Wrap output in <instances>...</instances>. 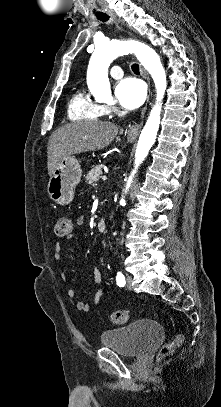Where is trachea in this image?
Returning <instances> with one entry per match:
<instances>
[{
  "mask_svg": "<svg viewBox=\"0 0 221 407\" xmlns=\"http://www.w3.org/2000/svg\"><path fill=\"white\" fill-rule=\"evenodd\" d=\"M96 17H97V19H99L102 22H106V21L109 20V16L107 14H104V13L99 14ZM132 70H133V72L135 74H139V66H138V64H133L132 65Z\"/></svg>",
  "mask_w": 221,
  "mask_h": 407,
  "instance_id": "trachea-1",
  "label": "trachea"
}]
</instances>
